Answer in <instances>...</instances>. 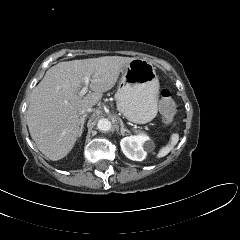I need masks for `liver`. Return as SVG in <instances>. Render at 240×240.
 I'll return each mask as SVG.
<instances>
[{
    "instance_id": "obj_1",
    "label": "liver",
    "mask_w": 240,
    "mask_h": 240,
    "mask_svg": "<svg viewBox=\"0 0 240 240\" xmlns=\"http://www.w3.org/2000/svg\"><path fill=\"white\" fill-rule=\"evenodd\" d=\"M135 58L104 56L60 62L47 70L34 88L27 110V125L37 148L57 161L74 147L79 130L80 111L93 107L103 92L113 88L120 72ZM85 76L91 77L93 92L80 96Z\"/></svg>"
}]
</instances>
